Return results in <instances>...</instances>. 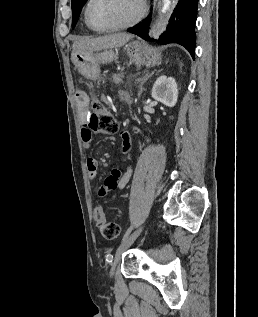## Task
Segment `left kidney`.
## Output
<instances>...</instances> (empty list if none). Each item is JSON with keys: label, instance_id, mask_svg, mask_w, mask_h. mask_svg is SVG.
<instances>
[{"label": "left kidney", "instance_id": "1", "mask_svg": "<svg viewBox=\"0 0 258 317\" xmlns=\"http://www.w3.org/2000/svg\"><path fill=\"white\" fill-rule=\"evenodd\" d=\"M153 98L160 100L166 106H175L178 98V88L175 78L173 76H159L155 80L151 92Z\"/></svg>", "mask_w": 258, "mask_h": 317}]
</instances>
